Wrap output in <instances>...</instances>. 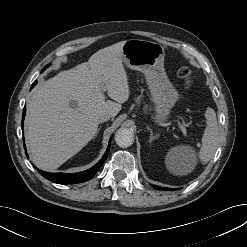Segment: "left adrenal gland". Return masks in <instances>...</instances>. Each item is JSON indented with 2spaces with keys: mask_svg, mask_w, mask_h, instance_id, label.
Here are the masks:
<instances>
[{
  "mask_svg": "<svg viewBox=\"0 0 247 247\" xmlns=\"http://www.w3.org/2000/svg\"><path fill=\"white\" fill-rule=\"evenodd\" d=\"M146 128H147V130L150 132V139H149V142L151 143L154 139L157 138V135H154V134H153V131H152V129H151L149 126H147Z\"/></svg>",
  "mask_w": 247,
  "mask_h": 247,
  "instance_id": "obj_1",
  "label": "left adrenal gland"
}]
</instances>
